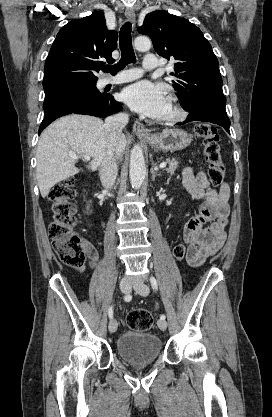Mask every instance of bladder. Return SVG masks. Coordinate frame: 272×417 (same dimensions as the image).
Masks as SVG:
<instances>
[{
    "mask_svg": "<svg viewBox=\"0 0 272 417\" xmlns=\"http://www.w3.org/2000/svg\"><path fill=\"white\" fill-rule=\"evenodd\" d=\"M162 342L152 333L127 331L117 340V352L128 363L141 365L154 362L161 354Z\"/></svg>",
    "mask_w": 272,
    "mask_h": 417,
    "instance_id": "31cf9c89",
    "label": "bladder"
}]
</instances>
